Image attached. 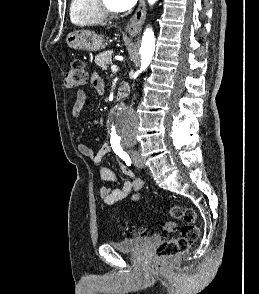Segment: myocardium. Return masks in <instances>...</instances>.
Returning <instances> with one entry per match:
<instances>
[{
	"instance_id": "myocardium-1",
	"label": "myocardium",
	"mask_w": 259,
	"mask_h": 294,
	"mask_svg": "<svg viewBox=\"0 0 259 294\" xmlns=\"http://www.w3.org/2000/svg\"><path fill=\"white\" fill-rule=\"evenodd\" d=\"M95 1V8L97 10V12L99 13V15L107 20V19H113L116 18L119 14V12L117 10H113L111 8H109L106 4L104 0H94Z\"/></svg>"
}]
</instances>
